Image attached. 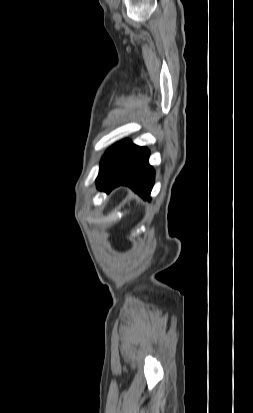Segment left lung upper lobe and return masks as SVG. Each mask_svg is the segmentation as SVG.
<instances>
[{"label": "left lung upper lobe", "instance_id": "left-lung-upper-lobe-1", "mask_svg": "<svg viewBox=\"0 0 253 413\" xmlns=\"http://www.w3.org/2000/svg\"><path fill=\"white\" fill-rule=\"evenodd\" d=\"M117 146V144L113 145L111 148H109L105 155L102 158V161L100 163V168L103 166V164L107 161L108 157L111 155V153L114 151L115 147Z\"/></svg>", "mask_w": 253, "mask_h": 413}]
</instances>
